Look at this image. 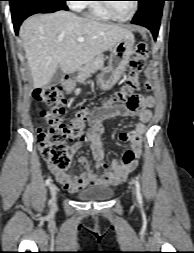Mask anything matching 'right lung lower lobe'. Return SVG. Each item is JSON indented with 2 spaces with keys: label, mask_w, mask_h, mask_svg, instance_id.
Returning a JSON list of instances; mask_svg holds the SVG:
<instances>
[{
  "label": "right lung lower lobe",
  "mask_w": 194,
  "mask_h": 253,
  "mask_svg": "<svg viewBox=\"0 0 194 253\" xmlns=\"http://www.w3.org/2000/svg\"><path fill=\"white\" fill-rule=\"evenodd\" d=\"M66 0H18L11 4V15L15 32L22 21L35 13H51L58 10H67Z\"/></svg>",
  "instance_id": "right-lung-lower-lobe-1"
}]
</instances>
